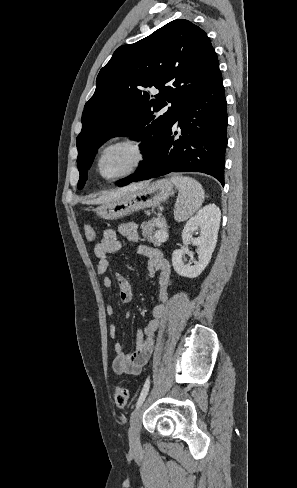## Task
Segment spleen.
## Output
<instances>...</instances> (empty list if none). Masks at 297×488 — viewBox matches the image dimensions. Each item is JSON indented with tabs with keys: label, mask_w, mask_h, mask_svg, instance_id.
Here are the masks:
<instances>
[{
	"label": "spleen",
	"mask_w": 297,
	"mask_h": 488,
	"mask_svg": "<svg viewBox=\"0 0 297 488\" xmlns=\"http://www.w3.org/2000/svg\"><path fill=\"white\" fill-rule=\"evenodd\" d=\"M171 181L179 190L174 216L176 220L182 221L200 208L204 201V190L193 178L172 176Z\"/></svg>",
	"instance_id": "spleen-1"
}]
</instances>
